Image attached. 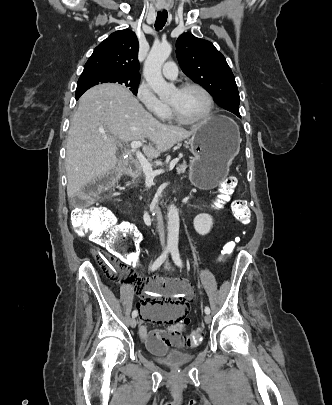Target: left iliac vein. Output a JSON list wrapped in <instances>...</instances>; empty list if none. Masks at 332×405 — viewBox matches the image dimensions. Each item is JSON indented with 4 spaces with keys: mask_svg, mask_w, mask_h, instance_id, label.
Returning <instances> with one entry per match:
<instances>
[{
    "mask_svg": "<svg viewBox=\"0 0 332 405\" xmlns=\"http://www.w3.org/2000/svg\"><path fill=\"white\" fill-rule=\"evenodd\" d=\"M164 268L167 269V270L170 269V265H169L168 261H166ZM204 321H205V323H207V324L210 323V322H211V316H210L209 314H206V315L204 316Z\"/></svg>",
    "mask_w": 332,
    "mask_h": 405,
    "instance_id": "1",
    "label": "left iliac vein"
}]
</instances>
